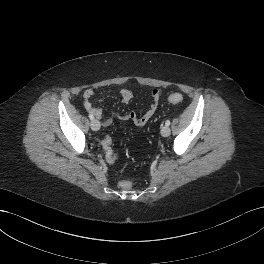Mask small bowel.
<instances>
[{
    "label": "small bowel",
    "instance_id": "c3829d8e",
    "mask_svg": "<svg viewBox=\"0 0 264 264\" xmlns=\"http://www.w3.org/2000/svg\"><path fill=\"white\" fill-rule=\"evenodd\" d=\"M119 94H120L122 102H124V103L129 102L134 97V92L130 89H121ZM94 95H95V93L91 89H88L83 93L84 105H85L86 110L90 114L95 116L97 119L101 120L103 126H105V127L110 126L112 124V118L103 119L102 109L94 106L91 103V99L94 97ZM161 96H162L161 90H159V89L152 90V92H151V103L149 105V108L141 116L136 115L134 112H130L127 114H114V117L118 118L119 120H122V121H132L136 127L141 128V127L145 126L146 123L155 114V112L158 108ZM105 156H106L107 161L110 163H113L116 159V156H113V157H109L107 155H105Z\"/></svg>",
    "mask_w": 264,
    "mask_h": 264
}]
</instances>
